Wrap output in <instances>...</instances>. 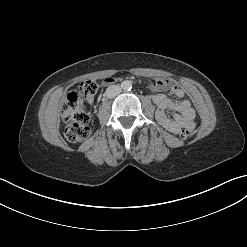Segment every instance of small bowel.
Wrapping results in <instances>:
<instances>
[{
  "label": "small bowel",
  "mask_w": 247,
  "mask_h": 247,
  "mask_svg": "<svg viewBox=\"0 0 247 247\" xmlns=\"http://www.w3.org/2000/svg\"><path fill=\"white\" fill-rule=\"evenodd\" d=\"M114 79L108 77L103 80V86H109L114 83ZM149 88L157 93L152 97L153 102L157 106L156 119L159 124L167 131L178 134L182 128L193 131L195 129V111L191 103L187 99H183L185 91L179 85L170 79H157L149 83ZM169 91L179 100L168 98L164 93ZM93 97L87 99L89 105L93 104ZM168 109L174 110L176 113L173 118H169L166 114Z\"/></svg>",
  "instance_id": "1"
}]
</instances>
